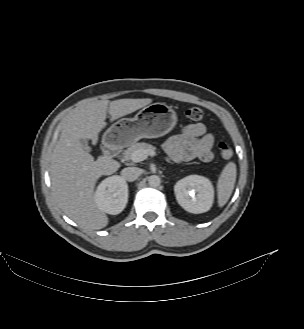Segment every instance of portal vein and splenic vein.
<instances>
[{
	"instance_id": "1",
	"label": "portal vein and splenic vein",
	"mask_w": 304,
	"mask_h": 329,
	"mask_svg": "<svg viewBox=\"0 0 304 329\" xmlns=\"http://www.w3.org/2000/svg\"><path fill=\"white\" fill-rule=\"evenodd\" d=\"M155 154V151L152 149H140L132 153L131 160L134 162H141L145 160L148 156H155Z\"/></svg>"
}]
</instances>
